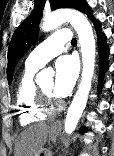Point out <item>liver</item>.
I'll return each mask as SVG.
<instances>
[{
  "label": "liver",
  "mask_w": 114,
  "mask_h": 156,
  "mask_svg": "<svg viewBox=\"0 0 114 156\" xmlns=\"http://www.w3.org/2000/svg\"><path fill=\"white\" fill-rule=\"evenodd\" d=\"M50 126L37 123L20 133L15 143V156H37L46 143Z\"/></svg>",
  "instance_id": "1"
}]
</instances>
